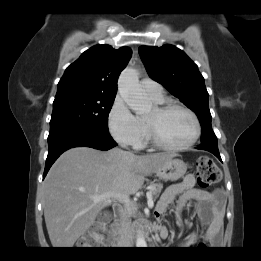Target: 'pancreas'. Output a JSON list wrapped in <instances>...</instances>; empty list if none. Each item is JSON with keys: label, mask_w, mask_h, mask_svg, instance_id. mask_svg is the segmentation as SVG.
<instances>
[{"label": "pancreas", "mask_w": 261, "mask_h": 261, "mask_svg": "<svg viewBox=\"0 0 261 261\" xmlns=\"http://www.w3.org/2000/svg\"><path fill=\"white\" fill-rule=\"evenodd\" d=\"M162 189H163V185L161 183H151L150 184V191H151V194H152V197L154 200L158 198Z\"/></svg>", "instance_id": "cf45deb5"}]
</instances>
